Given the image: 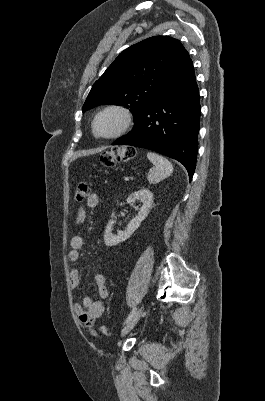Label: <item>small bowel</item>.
I'll return each mask as SVG.
<instances>
[{
  "label": "small bowel",
  "instance_id": "small-bowel-1",
  "mask_svg": "<svg viewBox=\"0 0 265 401\" xmlns=\"http://www.w3.org/2000/svg\"><path fill=\"white\" fill-rule=\"evenodd\" d=\"M99 204V196L95 193L91 194L87 199L86 205L89 208H95ZM85 209L81 208L78 212L76 223L81 224L85 219ZM84 238L80 235L73 236L70 241L71 250L68 253V259L71 262H76L80 258V251L84 247ZM70 284L73 290L77 289L80 283V275L77 269H72L69 273ZM94 283L97 288L99 298L106 299L109 296V289L107 287V277L103 273H96L93 277ZM75 312L79 320L92 327L93 322L104 314V305L101 301H93L89 297H84L81 304L76 303Z\"/></svg>",
  "mask_w": 265,
  "mask_h": 401
}]
</instances>
